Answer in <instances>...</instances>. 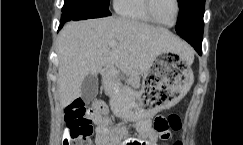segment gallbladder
Instances as JSON below:
<instances>
[{
	"label": "gallbladder",
	"instance_id": "1",
	"mask_svg": "<svg viewBox=\"0 0 243 145\" xmlns=\"http://www.w3.org/2000/svg\"><path fill=\"white\" fill-rule=\"evenodd\" d=\"M98 94V77L92 74H88L81 86V96L83 100L90 103Z\"/></svg>",
	"mask_w": 243,
	"mask_h": 145
}]
</instances>
